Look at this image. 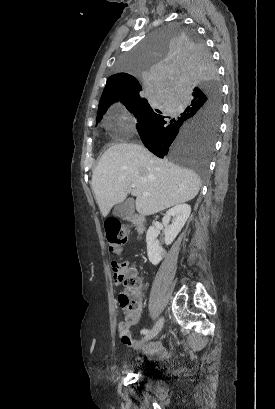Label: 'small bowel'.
<instances>
[{
  "mask_svg": "<svg viewBox=\"0 0 275 409\" xmlns=\"http://www.w3.org/2000/svg\"><path fill=\"white\" fill-rule=\"evenodd\" d=\"M123 274L120 273L119 268H114L113 269V275L112 278L114 280V285L116 287H119L121 285V280L123 279ZM123 283V282H122ZM119 341L122 342L124 347H127L128 350H133L134 345L136 344V339L132 337L131 333H128L127 330H122L121 333L119 334ZM144 353L148 355L151 358H162L164 357L165 351L164 348L161 346V344L158 341H153L147 344L144 348Z\"/></svg>",
  "mask_w": 275,
  "mask_h": 409,
  "instance_id": "obj_1",
  "label": "small bowel"
}]
</instances>
